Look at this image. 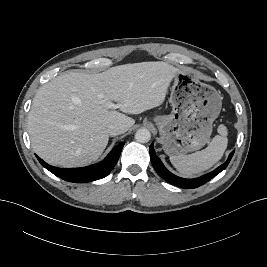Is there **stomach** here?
<instances>
[{"label": "stomach", "instance_id": "stomach-1", "mask_svg": "<svg viewBox=\"0 0 267 267\" xmlns=\"http://www.w3.org/2000/svg\"><path fill=\"white\" fill-rule=\"evenodd\" d=\"M169 115L154 117L160 143L168 155H183L208 143L218 117L222 97L211 85L190 70H177L173 77Z\"/></svg>", "mask_w": 267, "mask_h": 267}]
</instances>
